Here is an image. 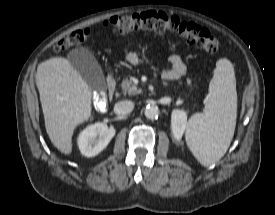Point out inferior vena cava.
Listing matches in <instances>:
<instances>
[{
  "label": "inferior vena cava",
  "instance_id": "602c4592",
  "mask_svg": "<svg viewBox=\"0 0 275 215\" xmlns=\"http://www.w3.org/2000/svg\"><path fill=\"white\" fill-rule=\"evenodd\" d=\"M134 109V103L130 100L117 102L114 106V111L117 114H127Z\"/></svg>",
  "mask_w": 275,
  "mask_h": 215
}]
</instances>
